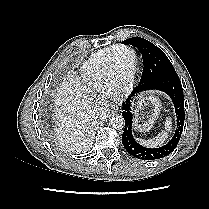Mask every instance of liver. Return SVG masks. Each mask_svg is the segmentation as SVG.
Listing matches in <instances>:
<instances>
[{"label": "liver", "instance_id": "obj_1", "mask_svg": "<svg viewBox=\"0 0 209 209\" xmlns=\"http://www.w3.org/2000/svg\"><path fill=\"white\" fill-rule=\"evenodd\" d=\"M87 85L78 78H68L54 95L56 106V138L60 147L69 152H80L91 140L92 124L96 118L93 109L101 104Z\"/></svg>", "mask_w": 209, "mask_h": 209}]
</instances>
